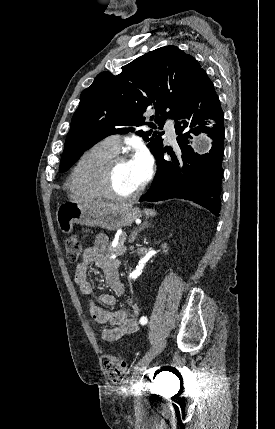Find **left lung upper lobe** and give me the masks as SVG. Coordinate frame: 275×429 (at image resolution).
Listing matches in <instances>:
<instances>
[{"label": "left lung upper lobe", "instance_id": "1", "mask_svg": "<svg viewBox=\"0 0 275 429\" xmlns=\"http://www.w3.org/2000/svg\"><path fill=\"white\" fill-rule=\"evenodd\" d=\"M121 69L118 75L99 73L81 93L60 172L109 135L125 134L144 124L162 129L167 118L176 119L188 104L203 70L193 56L173 45L150 51ZM151 107L156 111L151 117L154 123H146L143 113ZM136 134L149 142L154 156L163 148V133L139 130Z\"/></svg>", "mask_w": 275, "mask_h": 429}]
</instances>
